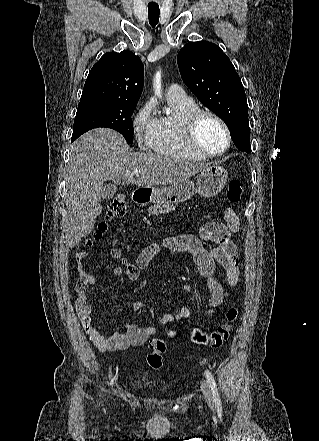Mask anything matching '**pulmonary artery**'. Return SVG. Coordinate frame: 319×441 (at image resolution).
Masks as SVG:
<instances>
[{"label": "pulmonary artery", "instance_id": "e3ab8cb5", "mask_svg": "<svg viewBox=\"0 0 319 441\" xmlns=\"http://www.w3.org/2000/svg\"><path fill=\"white\" fill-rule=\"evenodd\" d=\"M167 96L169 99L174 100H186L188 99V96L186 95L185 91L182 89L181 86L177 84H172L168 90H167Z\"/></svg>", "mask_w": 319, "mask_h": 441}]
</instances>
